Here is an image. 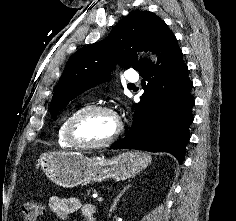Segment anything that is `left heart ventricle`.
I'll return each instance as SVG.
<instances>
[{"mask_svg": "<svg viewBox=\"0 0 236 221\" xmlns=\"http://www.w3.org/2000/svg\"><path fill=\"white\" fill-rule=\"evenodd\" d=\"M117 129V122L113 116L104 112H97L83 118L76 126L75 135L85 143H96L112 137Z\"/></svg>", "mask_w": 236, "mask_h": 221, "instance_id": "obj_1", "label": "left heart ventricle"}]
</instances>
